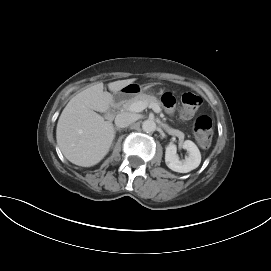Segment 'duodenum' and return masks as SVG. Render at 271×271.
<instances>
[{
  "label": "duodenum",
  "instance_id": "410a0bca",
  "mask_svg": "<svg viewBox=\"0 0 271 271\" xmlns=\"http://www.w3.org/2000/svg\"><path fill=\"white\" fill-rule=\"evenodd\" d=\"M123 99H124L123 94H117L114 96V98L112 100V108H111L110 112L108 113L109 117H112L115 114L116 110L120 106Z\"/></svg>",
  "mask_w": 271,
  "mask_h": 271
}]
</instances>
